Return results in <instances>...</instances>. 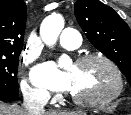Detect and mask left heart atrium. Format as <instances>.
Listing matches in <instances>:
<instances>
[{"instance_id":"39dd6f15","label":"left heart atrium","mask_w":131,"mask_h":115,"mask_svg":"<svg viewBox=\"0 0 131 115\" xmlns=\"http://www.w3.org/2000/svg\"><path fill=\"white\" fill-rule=\"evenodd\" d=\"M36 83L56 91H69L72 89V76L70 73H60L51 63L37 68L33 73Z\"/></svg>"}]
</instances>
